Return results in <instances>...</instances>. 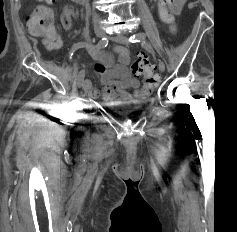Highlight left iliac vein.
Segmentation results:
<instances>
[{
  "mask_svg": "<svg viewBox=\"0 0 237 232\" xmlns=\"http://www.w3.org/2000/svg\"><path fill=\"white\" fill-rule=\"evenodd\" d=\"M111 39L119 44H125L127 45L129 42H128V39L125 35L123 34H116V35H113L111 36ZM159 70L161 72H164L165 71V64L163 61H160L159 62Z\"/></svg>",
  "mask_w": 237,
  "mask_h": 232,
  "instance_id": "left-iliac-vein-1",
  "label": "left iliac vein"
}]
</instances>
